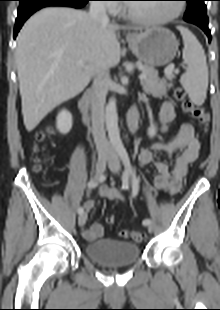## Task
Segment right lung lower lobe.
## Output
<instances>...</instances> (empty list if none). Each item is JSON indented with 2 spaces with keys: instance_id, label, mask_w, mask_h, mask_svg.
<instances>
[{
  "instance_id": "obj_1",
  "label": "right lung lower lobe",
  "mask_w": 220,
  "mask_h": 310,
  "mask_svg": "<svg viewBox=\"0 0 220 310\" xmlns=\"http://www.w3.org/2000/svg\"><path fill=\"white\" fill-rule=\"evenodd\" d=\"M18 16L15 22L14 38L24 22L37 10L48 6L81 8L90 0H19Z\"/></svg>"
}]
</instances>
